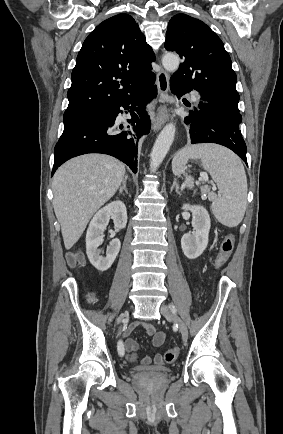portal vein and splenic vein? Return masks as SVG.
<instances>
[{
    "label": "portal vein and splenic vein",
    "instance_id": "portal-vein-and-splenic-vein-1",
    "mask_svg": "<svg viewBox=\"0 0 283 434\" xmlns=\"http://www.w3.org/2000/svg\"><path fill=\"white\" fill-rule=\"evenodd\" d=\"M200 179L203 181H208L209 177L206 173H201L200 174Z\"/></svg>",
    "mask_w": 283,
    "mask_h": 434
}]
</instances>
